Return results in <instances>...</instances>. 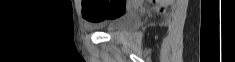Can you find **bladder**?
Segmentation results:
<instances>
[{
    "mask_svg": "<svg viewBox=\"0 0 235 62\" xmlns=\"http://www.w3.org/2000/svg\"><path fill=\"white\" fill-rule=\"evenodd\" d=\"M140 21L139 14L135 9H130L118 16L113 17L106 26L110 34L127 30L136 26Z\"/></svg>",
    "mask_w": 235,
    "mask_h": 62,
    "instance_id": "31cf9c89",
    "label": "bladder"
}]
</instances>
